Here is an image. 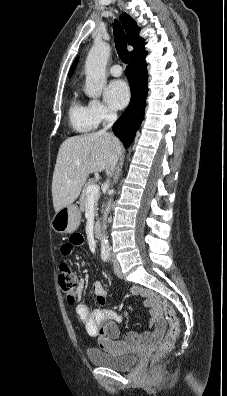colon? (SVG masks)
<instances>
[{"label":"colon","instance_id":"5ec220e1","mask_svg":"<svg viewBox=\"0 0 227 396\" xmlns=\"http://www.w3.org/2000/svg\"><path fill=\"white\" fill-rule=\"evenodd\" d=\"M58 282L62 292L66 296L67 301L70 304L75 303L77 299L78 282L75 272L73 271L72 267L69 264L62 263L60 265L59 273H58ZM153 299L157 304V306L161 309L166 320L169 323V330L166 336L160 342L156 351V354L160 355L172 349L174 342L177 339L180 332V323L175 310L166 299L154 294H153Z\"/></svg>","mask_w":227,"mask_h":396}]
</instances>
